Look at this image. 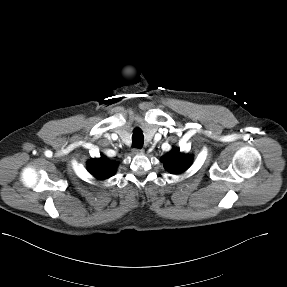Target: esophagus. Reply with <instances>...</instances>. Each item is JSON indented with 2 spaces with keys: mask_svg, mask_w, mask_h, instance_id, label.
<instances>
[{
  "mask_svg": "<svg viewBox=\"0 0 287 287\" xmlns=\"http://www.w3.org/2000/svg\"><path fill=\"white\" fill-rule=\"evenodd\" d=\"M132 154H133V155L143 154V149H141V148H134V149L132 150Z\"/></svg>",
  "mask_w": 287,
  "mask_h": 287,
  "instance_id": "34e87169",
  "label": "esophagus"
}]
</instances>
